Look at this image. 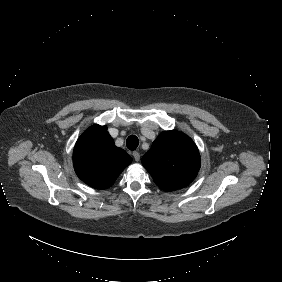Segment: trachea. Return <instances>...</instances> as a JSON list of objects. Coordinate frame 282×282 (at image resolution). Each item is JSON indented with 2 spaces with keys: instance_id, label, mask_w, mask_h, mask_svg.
<instances>
[{
  "instance_id": "3493384b",
  "label": "trachea",
  "mask_w": 282,
  "mask_h": 282,
  "mask_svg": "<svg viewBox=\"0 0 282 282\" xmlns=\"http://www.w3.org/2000/svg\"><path fill=\"white\" fill-rule=\"evenodd\" d=\"M139 145V139L135 135H130L126 139V146L129 150H135Z\"/></svg>"
}]
</instances>
